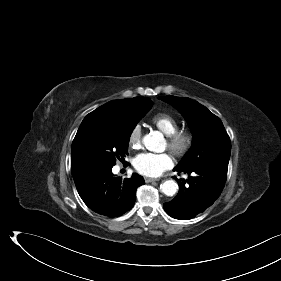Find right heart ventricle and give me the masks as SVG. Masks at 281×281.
Listing matches in <instances>:
<instances>
[{"mask_svg": "<svg viewBox=\"0 0 281 281\" xmlns=\"http://www.w3.org/2000/svg\"><path fill=\"white\" fill-rule=\"evenodd\" d=\"M151 122L165 135H170L176 130H178V121L168 113H158L154 115Z\"/></svg>", "mask_w": 281, "mask_h": 281, "instance_id": "obj_1", "label": "right heart ventricle"}]
</instances>
